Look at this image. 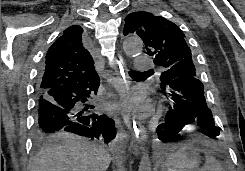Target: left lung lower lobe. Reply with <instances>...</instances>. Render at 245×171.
<instances>
[{"label": "left lung lower lobe", "mask_w": 245, "mask_h": 171, "mask_svg": "<svg viewBox=\"0 0 245 171\" xmlns=\"http://www.w3.org/2000/svg\"><path fill=\"white\" fill-rule=\"evenodd\" d=\"M173 101L164 122L157 127L158 138L164 142L175 141L189 125L199 127V132L215 139L219 127L206 103L202 82L195 77L180 76L162 89Z\"/></svg>", "instance_id": "left-lung-lower-lobe-1"}]
</instances>
